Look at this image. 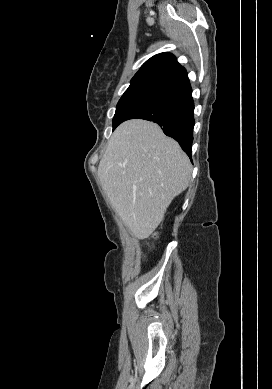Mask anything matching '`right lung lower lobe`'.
I'll return each mask as SVG.
<instances>
[{
  "label": "right lung lower lobe",
  "instance_id": "1",
  "mask_svg": "<svg viewBox=\"0 0 272 389\" xmlns=\"http://www.w3.org/2000/svg\"><path fill=\"white\" fill-rule=\"evenodd\" d=\"M136 118L157 123L191 157L195 120L192 89L187 76L145 98L125 115L122 122Z\"/></svg>",
  "mask_w": 272,
  "mask_h": 389
}]
</instances>
